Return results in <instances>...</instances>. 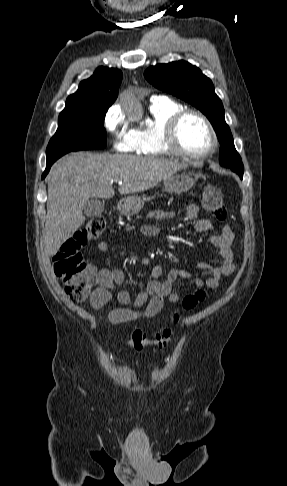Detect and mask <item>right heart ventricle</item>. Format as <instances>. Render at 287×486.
I'll use <instances>...</instances> for the list:
<instances>
[{
  "label": "right heart ventricle",
  "instance_id": "right-heart-ventricle-1",
  "mask_svg": "<svg viewBox=\"0 0 287 486\" xmlns=\"http://www.w3.org/2000/svg\"><path fill=\"white\" fill-rule=\"evenodd\" d=\"M181 104L168 98L154 99L149 107L151 122L132 130L134 152L150 157L169 156L172 153L163 142V129L168 119L182 110Z\"/></svg>",
  "mask_w": 287,
  "mask_h": 486
}]
</instances>
